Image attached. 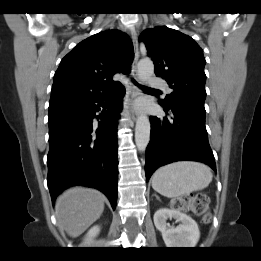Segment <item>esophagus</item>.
<instances>
[{"instance_id":"1","label":"esophagus","mask_w":261,"mask_h":261,"mask_svg":"<svg viewBox=\"0 0 261 261\" xmlns=\"http://www.w3.org/2000/svg\"><path fill=\"white\" fill-rule=\"evenodd\" d=\"M131 38H132L133 48H134V59L132 63L131 77L134 81H138L137 64L139 60V47H138L137 33L135 31L131 33ZM133 80H130L127 86V95H128L127 109L132 119H136L137 109L135 107V100L139 95V89Z\"/></svg>"}]
</instances>
